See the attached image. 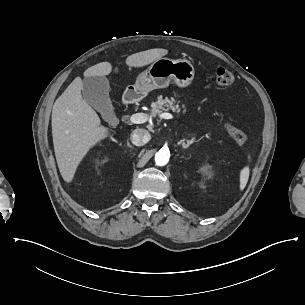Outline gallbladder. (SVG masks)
<instances>
[{
	"label": "gallbladder",
	"mask_w": 305,
	"mask_h": 305,
	"mask_svg": "<svg viewBox=\"0 0 305 305\" xmlns=\"http://www.w3.org/2000/svg\"><path fill=\"white\" fill-rule=\"evenodd\" d=\"M109 87V82L105 77H90L83 80V98L101 114L106 122H110L115 117L109 97Z\"/></svg>",
	"instance_id": "gallbladder-1"
}]
</instances>
